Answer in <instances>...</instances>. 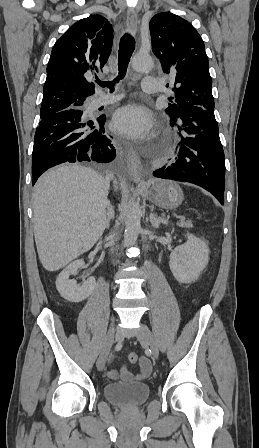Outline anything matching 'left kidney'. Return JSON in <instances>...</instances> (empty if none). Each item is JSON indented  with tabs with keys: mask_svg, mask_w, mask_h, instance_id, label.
Segmentation results:
<instances>
[{
	"mask_svg": "<svg viewBox=\"0 0 259 448\" xmlns=\"http://www.w3.org/2000/svg\"><path fill=\"white\" fill-rule=\"evenodd\" d=\"M209 260V248L193 234L187 236L186 244L177 246L170 254V270L180 284L198 280Z\"/></svg>",
	"mask_w": 259,
	"mask_h": 448,
	"instance_id": "left-kidney-1",
	"label": "left kidney"
}]
</instances>
